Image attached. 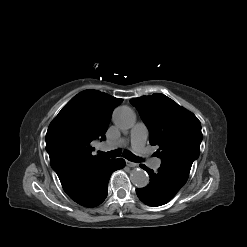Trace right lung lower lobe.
Returning a JSON list of instances; mask_svg holds the SVG:
<instances>
[{"label":"right lung lower lobe","mask_w":247,"mask_h":247,"mask_svg":"<svg viewBox=\"0 0 247 247\" xmlns=\"http://www.w3.org/2000/svg\"><path fill=\"white\" fill-rule=\"evenodd\" d=\"M125 166L123 159H108L99 166L77 174L61 183L68 196L85 207L101 204L107 196L111 174Z\"/></svg>","instance_id":"1"}]
</instances>
